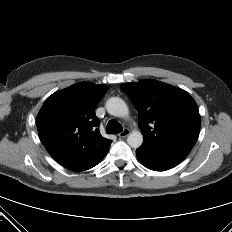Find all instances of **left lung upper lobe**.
<instances>
[{"mask_svg":"<svg viewBox=\"0 0 232 232\" xmlns=\"http://www.w3.org/2000/svg\"><path fill=\"white\" fill-rule=\"evenodd\" d=\"M139 113L142 148L191 149L199 136L201 118L186 91L152 79L121 85Z\"/></svg>","mask_w":232,"mask_h":232,"instance_id":"1","label":"left lung upper lobe"}]
</instances>
